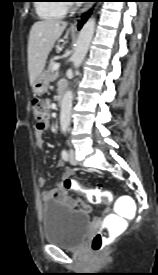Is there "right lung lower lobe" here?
<instances>
[{
  "label": "right lung lower lobe",
  "instance_id": "98d812e1",
  "mask_svg": "<svg viewBox=\"0 0 158 275\" xmlns=\"http://www.w3.org/2000/svg\"><path fill=\"white\" fill-rule=\"evenodd\" d=\"M90 13H86L84 16H82V22H80L78 24V29H80L82 27V23L85 22L87 20V18L89 17Z\"/></svg>",
  "mask_w": 158,
  "mask_h": 275
}]
</instances>
